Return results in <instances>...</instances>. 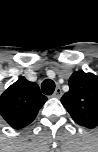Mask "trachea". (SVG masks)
I'll list each match as a JSON object with an SVG mask.
<instances>
[{
  "label": "trachea",
  "instance_id": "1",
  "mask_svg": "<svg viewBox=\"0 0 98 152\" xmlns=\"http://www.w3.org/2000/svg\"><path fill=\"white\" fill-rule=\"evenodd\" d=\"M42 92L45 95H51L55 90V83L53 80L46 79L41 84Z\"/></svg>",
  "mask_w": 98,
  "mask_h": 152
}]
</instances>
